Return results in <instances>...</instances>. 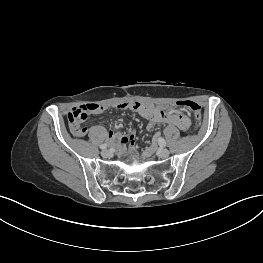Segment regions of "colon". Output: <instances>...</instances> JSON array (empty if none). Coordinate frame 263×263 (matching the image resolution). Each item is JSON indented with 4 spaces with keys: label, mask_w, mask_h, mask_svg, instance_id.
I'll return each mask as SVG.
<instances>
[{
    "label": "colon",
    "mask_w": 263,
    "mask_h": 263,
    "mask_svg": "<svg viewBox=\"0 0 263 263\" xmlns=\"http://www.w3.org/2000/svg\"><path fill=\"white\" fill-rule=\"evenodd\" d=\"M179 106L184 107L191 111L194 120L197 122L201 118V106L194 101H181L178 103ZM98 107H93V109H97ZM89 108L77 107L68 113V122L71 132L78 137L84 136L86 133V129L81 126L84 120L87 117Z\"/></svg>",
    "instance_id": "5ec220e1"
}]
</instances>
